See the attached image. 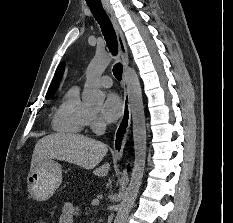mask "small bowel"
Wrapping results in <instances>:
<instances>
[{
  "mask_svg": "<svg viewBox=\"0 0 233 223\" xmlns=\"http://www.w3.org/2000/svg\"><path fill=\"white\" fill-rule=\"evenodd\" d=\"M80 215V211L71 202H65L62 205L61 213L57 223H73L74 218Z\"/></svg>",
  "mask_w": 233,
  "mask_h": 223,
  "instance_id": "1",
  "label": "small bowel"
}]
</instances>
